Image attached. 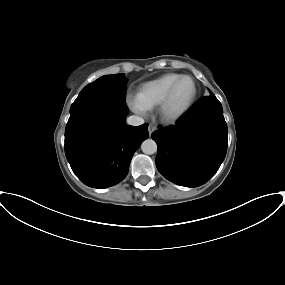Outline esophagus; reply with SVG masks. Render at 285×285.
<instances>
[{
	"label": "esophagus",
	"mask_w": 285,
	"mask_h": 285,
	"mask_svg": "<svg viewBox=\"0 0 285 285\" xmlns=\"http://www.w3.org/2000/svg\"><path fill=\"white\" fill-rule=\"evenodd\" d=\"M156 130V126L153 124H150L148 127V131H149V135L151 136V134Z\"/></svg>",
	"instance_id": "obj_1"
}]
</instances>
